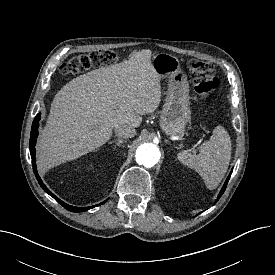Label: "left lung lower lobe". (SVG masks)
Segmentation results:
<instances>
[{
	"label": "left lung lower lobe",
	"instance_id": "left-lung-lower-lobe-1",
	"mask_svg": "<svg viewBox=\"0 0 275 275\" xmlns=\"http://www.w3.org/2000/svg\"><path fill=\"white\" fill-rule=\"evenodd\" d=\"M232 173V172H231ZM231 173H230V175H231ZM230 175L228 176V178H227V180L225 181V184L223 185V187H222V189H221V191H220V193H219V195H218V198H217V200L221 197V195L224 193V191H225V189H226V186H227V183H228V180H229V178H230Z\"/></svg>",
	"mask_w": 275,
	"mask_h": 275
}]
</instances>
